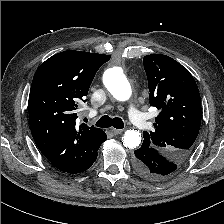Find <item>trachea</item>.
Wrapping results in <instances>:
<instances>
[{"label":"trachea","instance_id":"obj_1","mask_svg":"<svg viewBox=\"0 0 224 224\" xmlns=\"http://www.w3.org/2000/svg\"><path fill=\"white\" fill-rule=\"evenodd\" d=\"M96 126L101 128L113 126L116 129H122L124 127V122L119 117L111 118L108 115H104L96 122Z\"/></svg>","mask_w":224,"mask_h":224}]
</instances>
